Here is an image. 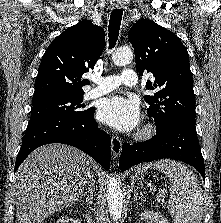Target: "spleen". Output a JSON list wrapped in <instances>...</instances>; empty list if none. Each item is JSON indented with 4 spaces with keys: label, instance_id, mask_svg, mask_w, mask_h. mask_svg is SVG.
<instances>
[{
    "label": "spleen",
    "instance_id": "spleen-1",
    "mask_svg": "<svg viewBox=\"0 0 221 223\" xmlns=\"http://www.w3.org/2000/svg\"><path fill=\"white\" fill-rule=\"evenodd\" d=\"M147 167L163 172L169 179L168 208L174 223H201L203 217L202 189L193 172L182 163L171 159L146 164L143 168Z\"/></svg>",
    "mask_w": 221,
    "mask_h": 223
}]
</instances>
